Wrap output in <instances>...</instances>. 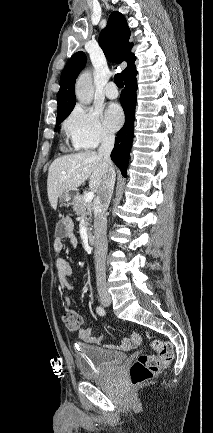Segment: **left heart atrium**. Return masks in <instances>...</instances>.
<instances>
[{
    "mask_svg": "<svg viewBox=\"0 0 213 433\" xmlns=\"http://www.w3.org/2000/svg\"><path fill=\"white\" fill-rule=\"evenodd\" d=\"M106 125L112 130H118L124 121V115L121 107L118 104H110L104 115Z\"/></svg>",
    "mask_w": 213,
    "mask_h": 433,
    "instance_id": "obj_1",
    "label": "left heart atrium"
}]
</instances>
